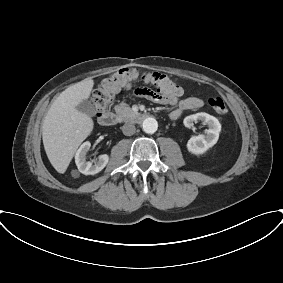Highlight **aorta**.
<instances>
[{"instance_id":"1","label":"aorta","mask_w":283,"mask_h":283,"mask_svg":"<svg viewBox=\"0 0 283 283\" xmlns=\"http://www.w3.org/2000/svg\"><path fill=\"white\" fill-rule=\"evenodd\" d=\"M142 129L145 133L153 134L158 129V122L154 118H146L142 123Z\"/></svg>"}]
</instances>
